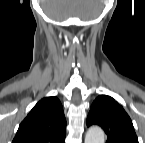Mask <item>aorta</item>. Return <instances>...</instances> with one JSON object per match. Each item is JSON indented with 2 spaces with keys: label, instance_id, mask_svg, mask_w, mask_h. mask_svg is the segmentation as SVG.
Masks as SVG:
<instances>
[{
  "label": "aorta",
  "instance_id": "1",
  "mask_svg": "<svg viewBox=\"0 0 145 143\" xmlns=\"http://www.w3.org/2000/svg\"><path fill=\"white\" fill-rule=\"evenodd\" d=\"M104 131L98 127H90L85 136V143H104Z\"/></svg>",
  "mask_w": 145,
  "mask_h": 143
}]
</instances>
